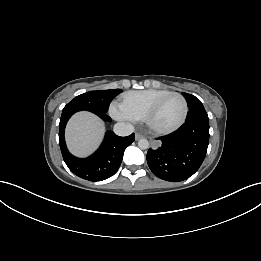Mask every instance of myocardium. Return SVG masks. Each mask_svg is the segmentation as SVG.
I'll return each mask as SVG.
<instances>
[{
  "instance_id": "f54148a6",
  "label": "myocardium",
  "mask_w": 261,
  "mask_h": 261,
  "mask_svg": "<svg viewBox=\"0 0 261 261\" xmlns=\"http://www.w3.org/2000/svg\"><path fill=\"white\" fill-rule=\"evenodd\" d=\"M172 96H176L179 97L183 103V113L182 116L180 118V120L172 127L170 128H166V129H160V128H156L152 125V118L155 115V113L157 112V110L159 109V107L161 106V104L169 97ZM188 115V103L186 98L178 93V92H169L165 95H163L162 97H160L159 99H157L152 105L151 107L147 110V112L144 115L143 118V122L145 123V125L147 126V128L152 131L155 134H159V135H166V134H170L175 132L176 130H178L186 121Z\"/></svg>"
}]
</instances>
